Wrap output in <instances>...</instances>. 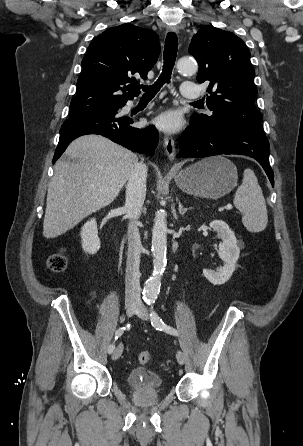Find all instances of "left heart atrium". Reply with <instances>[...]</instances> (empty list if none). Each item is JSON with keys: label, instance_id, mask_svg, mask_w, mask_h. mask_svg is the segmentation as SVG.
I'll list each match as a JSON object with an SVG mask.
<instances>
[{"label": "left heart atrium", "instance_id": "left-heart-atrium-1", "mask_svg": "<svg viewBox=\"0 0 303 446\" xmlns=\"http://www.w3.org/2000/svg\"><path fill=\"white\" fill-rule=\"evenodd\" d=\"M155 124L161 130L175 132L180 127V116L174 111H167L155 119Z\"/></svg>", "mask_w": 303, "mask_h": 446}]
</instances>
